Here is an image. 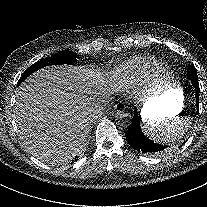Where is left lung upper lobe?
<instances>
[{
  "label": "left lung upper lobe",
  "instance_id": "obj_1",
  "mask_svg": "<svg viewBox=\"0 0 207 207\" xmlns=\"http://www.w3.org/2000/svg\"><path fill=\"white\" fill-rule=\"evenodd\" d=\"M187 77H188L189 80L192 77H196L197 78V71H196L194 65H188Z\"/></svg>",
  "mask_w": 207,
  "mask_h": 207
}]
</instances>
